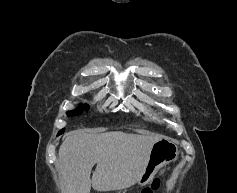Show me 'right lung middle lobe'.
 I'll list each match as a JSON object with an SVG mask.
<instances>
[{
  "instance_id": "right-lung-middle-lobe-1",
  "label": "right lung middle lobe",
  "mask_w": 237,
  "mask_h": 193,
  "mask_svg": "<svg viewBox=\"0 0 237 193\" xmlns=\"http://www.w3.org/2000/svg\"><path fill=\"white\" fill-rule=\"evenodd\" d=\"M88 108H89L88 105H81V106H79L78 108H76L75 110L68 111V112H67V115H68V116L79 115V114L83 113V110H84V111H87Z\"/></svg>"
}]
</instances>
